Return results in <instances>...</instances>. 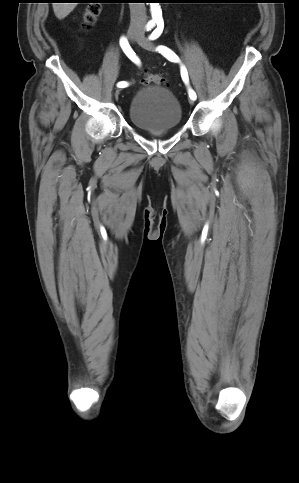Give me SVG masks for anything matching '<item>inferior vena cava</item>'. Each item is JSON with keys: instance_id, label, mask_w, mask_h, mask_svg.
Instances as JSON below:
<instances>
[{"instance_id": "inferior-vena-cava-1", "label": "inferior vena cava", "mask_w": 299, "mask_h": 483, "mask_svg": "<svg viewBox=\"0 0 299 483\" xmlns=\"http://www.w3.org/2000/svg\"><path fill=\"white\" fill-rule=\"evenodd\" d=\"M130 27L143 31L146 24V8L144 3H130Z\"/></svg>"}]
</instances>
